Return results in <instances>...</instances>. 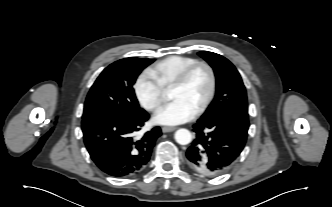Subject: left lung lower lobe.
I'll return each mask as SVG.
<instances>
[{"label":"left lung lower lobe","instance_id":"left-lung-lower-lobe-1","mask_svg":"<svg viewBox=\"0 0 332 207\" xmlns=\"http://www.w3.org/2000/svg\"><path fill=\"white\" fill-rule=\"evenodd\" d=\"M249 128L248 113L230 111L193 125L196 138L186 151L189 166L204 176L227 171L242 152Z\"/></svg>","mask_w":332,"mask_h":207}]
</instances>
